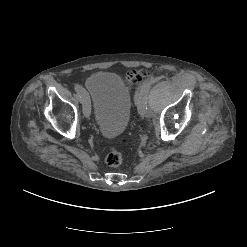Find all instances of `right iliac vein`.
<instances>
[{
  "instance_id": "right-iliac-vein-1",
  "label": "right iliac vein",
  "mask_w": 247,
  "mask_h": 247,
  "mask_svg": "<svg viewBox=\"0 0 247 247\" xmlns=\"http://www.w3.org/2000/svg\"><path fill=\"white\" fill-rule=\"evenodd\" d=\"M79 101L82 104L84 115L88 118L91 112V105H90L89 97L83 100H79Z\"/></svg>"
}]
</instances>
